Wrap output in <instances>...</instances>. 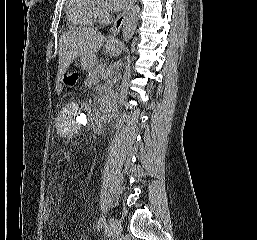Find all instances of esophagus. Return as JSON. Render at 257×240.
I'll list each match as a JSON object with an SVG mask.
<instances>
[{"mask_svg": "<svg viewBox=\"0 0 257 240\" xmlns=\"http://www.w3.org/2000/svg\"><path fill=\"white\" fill-rule=\"evenodd\" d=\"M135 2H136V0H131L128 9H127L126 11H124L122 14H120V15L117 17V19L115 20L114 25H113V27H112V29H111V36H110V38H109V40H108L109 42H114V41H115V38H116V36H117V35L119 34V32H120V29H121V27H122V24H123V22H124V19H125V17H126V15H127L128 11H129V9L133 6V4H134Z\"/></svg>", "mask_w": 257, "mask_h": 240, "instance_id": "esophagus-1", "label": "esophagus"}]
</instances>
